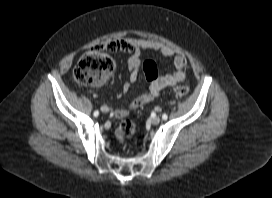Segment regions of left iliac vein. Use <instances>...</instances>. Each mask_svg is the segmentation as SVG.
<instances>
[{
	"instance_id": "obj_1",
	"label": "left iliac vein",
	"mask_w": 272,
	"mask_h": 198,
	"mask_svg": "<svg viewBox=\"0 0 272 198\" xmlns=\"http://www.w3.org/2000/svg\"><path fill=\"white\" fill-rule=\"evenodd\" d=\"M160 121H161V118L158 117V116H154V117L151 118V123L154 124V125L159 124Z\"/></svg>"
}]
</instances>
